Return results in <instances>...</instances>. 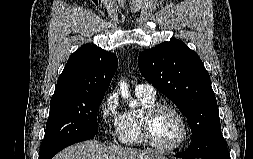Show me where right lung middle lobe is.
Wrapping results in <instances>:
<instances>
[{"label": "right lung middle lobe", "instance_id": "obj_1", "mask_svg": "<svg viewBox=\"0 0 253 159\" xmlns=\"http://www.w3.org/2000/svg\"><path fill=\"white\" fill-rule=\"evenodd\" d=\"M105 94L80 93L52 98L39 159L59 145L78 137L96 134L97 111Z\"/></svg>", "mask_w": 253, "mask_h": 159}]
</instances>
